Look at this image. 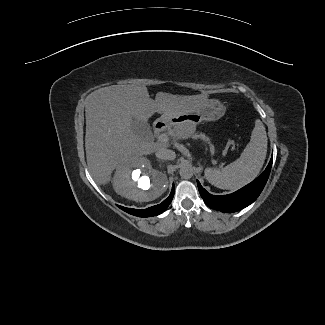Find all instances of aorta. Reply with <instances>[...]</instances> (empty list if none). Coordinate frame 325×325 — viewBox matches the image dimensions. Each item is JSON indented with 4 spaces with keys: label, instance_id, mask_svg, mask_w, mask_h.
<instances>
[{
    "label": "aorta",
    "instance_id": "762f6f07",
    "mask_svg": "<svg viewBox=\"0 0 325 325\" xmlns=\"http://www.w3.org/2000/svg\"><path fill=\"white\" fill-rule=\"evenodd\" d=\"M193 173V168L189 165H184L180 168V176L184 179H190Z\"/></svg>",
    "mask_w": 325,
    "mask_h": 325
}]
</instances>
